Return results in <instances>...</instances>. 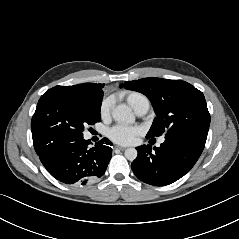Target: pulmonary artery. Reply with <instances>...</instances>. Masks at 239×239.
I'll return each instance as SVG.
<instances>
[{
	"label": "pulmonary artery",
	"mask_w": 239,
	"mask_h": 239,
	"mask_svg": "<svg viewBox=\"0 0 239 239\" xmlns=\"http://www.w3.org/2000/svg\"><path fill=\"white\" fill-rule=\"evenodd\" d=\"M150 107V103L147 98H144L143 100L140 101L138 108L136 109V113L138 115H144L148 112ZM164 137L159 139V144L164 142Z\"/></svg>",
	"instance_id": "1"
}]
</instances>
